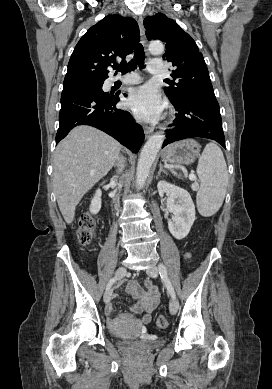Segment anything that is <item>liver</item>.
<instances>
[{
  "label": "liver",
  "instance_id": "obj_1",
  "mask_svg": "<svg viewBox=\"0 0 272 389\" xmlns=\"http://www.w3.org/2000/svg\"><path fill=\"white\" fill-rule=\"evenodd\" d=\"M121 145L106 133L78 126L57 146L53 185L59 209L70 224L82 197L114 166Z\"/></svg>",
  "mask_w": 272,
  "mask_h": 389
}]
</instances>
